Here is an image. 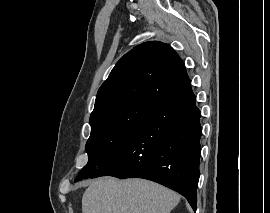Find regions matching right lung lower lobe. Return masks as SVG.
<instances>
[{"mask_svg":"<svg viewBox=\"0 0 270 213\" xmlns=\"http://www.w3.org/2000/svg\"><path fill=\"white\" fill-rule=\"evenodd\" d=\"M200 117L189 83L157 103L128 141L90 178L148 179L179 192L196 210Z\"/></svg>","mask_w":270,"mask_h":213,"instance_id":"1","label":"right lung lower lobe"}]
</instances>
